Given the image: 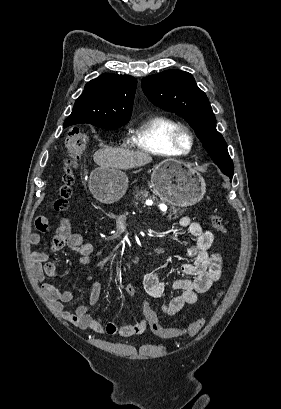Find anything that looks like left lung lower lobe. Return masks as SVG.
Returning <instances> with one entry per match:
<instances>
[{
  "instance_id": "obj_1",
  "label": "left lung lower lobe",
  "mask_w": 281,
  "mask_h": 409,
  "mask_svg": "<svg viewBox=\"0 0 281 409\" xmlns=\"http://www.w3.org/2000/svg\"><path fill=\"white\" fill-rule=\"evenodd\" d=\"M230 177V180H232V176H229Z\"/></svg>"
}]
</instances>
